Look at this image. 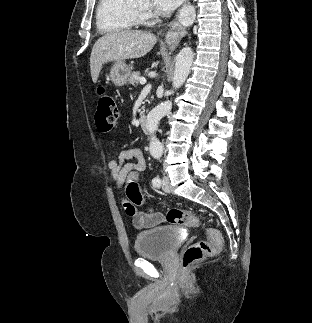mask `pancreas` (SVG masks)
Segmentation results:
<instances>
[{"label": "pancreas", "instance_id": "obj_1", "mask_svg": "<svg viewBox=\"0 0 312 323\" xmlns=\"http://www.w3.org/2000/svg\"><path fill=\"white\" fill-rule=\"evenodd\" d=\"M127 82L128 84H132V86H135V84H138V82H140V72H132Z\"/></svg>", "mask_w": 312, "mask_h": 323}]
</instances>
